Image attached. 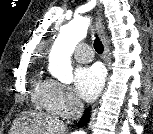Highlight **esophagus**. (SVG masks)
<instances>
[{
  "label": "esophagus",
  "mask_w": 153,
  "mask_h": 134,
  "mask_svg": "<svg viewBox=\"0 0 153 134\" xmlns=\"http://www.w3.org/2000/svg\"><path fill=\"white\" fill-rule=\"evenodd\" d=\"M98 6H99V9H98V12H97L96 26H97L99 36H100L101 41H102L103 46H104V60H105L106 64L109 66V64H110L109 46H108L106 35H105V32H104L101 6L99 4H98ZM96 107H97V104H94L91 107V113H94L96 111Z\"/></svg>",
  "instance_id": "obj_1"
}]
</instances>
